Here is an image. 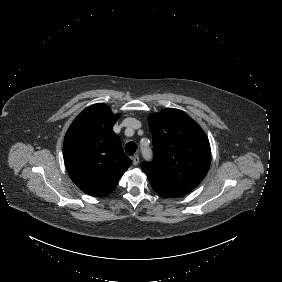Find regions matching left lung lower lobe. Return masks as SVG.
Segmentation results:
<instances>
[{
	"label": "left lung lower lobe",
	"instance_id": "1",
	"mask_svg": "<svg viewBox=\"0 0 282 282\" xmlns=\"http://www.w3.org/2000/svg\"><path fill=\"white\" fill-rule=\"evenodd\" d=\"M152 188L161 196L166 198H177L183 196L191 191V189H186L177 186H158L153 180L149 179Z\"/></svg>",
	"mask_w": 282,
	"mask_h": 282
}]
</instances>
